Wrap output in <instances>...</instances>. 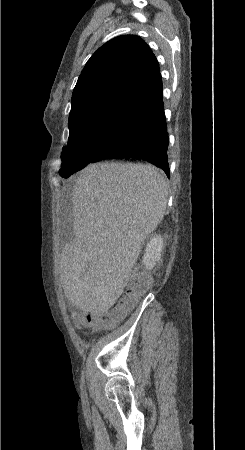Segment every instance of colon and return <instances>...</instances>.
Listing matches in <instances>:
<instances>
[{
  "label": "colon",
  "instance_id": "5ec220e1",
  "mask_svg": "<svg viewBox=\"0 0 245 450\" xmlns=\"http://www.w3.org/2000/svg\"><path fill=\"white\" fill-rule=\"evenodd\" d=\"M147 286L140 273H134L126 283V291L119 301L110 309L96 312L82 321L86 328L111 326L119 323L136 305L138 299L145 293Z\"/></svg>",
  "mask_w": 245,
  "mask_h": 450
}]
</instances>
